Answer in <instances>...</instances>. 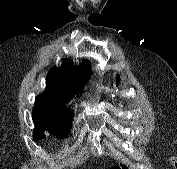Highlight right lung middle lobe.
I'll use <instances>...</instances> for the list:
<instances>
[{
	"instance_id": "dd1d6c3e",
	"label": "right lung middle lobe",
	"mask_w": 177,
	"mask_h": 169,
	"mask_svg": "<svg viewBox=\"0 0 177 169\" xmlns=\"http://www.w3.org/2000/svg\"><path fill=\"white\" fill-rule=\"evenodd\" d=\"M66 103L55 104L47 107L39 105L34 106V139L41 140L45 138L43 135L44 130L56 134L57 137L61 138L68 135L72 126L73 113L66 107Z\"/></svg>"
}]
</instances>
